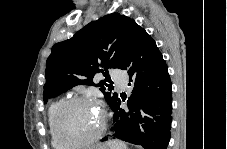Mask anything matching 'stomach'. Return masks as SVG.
I'll use <instances>...</instances> for the list:
<instances>
[{
  "mask_svg": "<svg viewBox=\"0 0 227 149\" xmlns=\"http://www.w3.org/2000/svg\"><path fill=\"white\" fill-rule=\"evenodd\" d=\"M97 149H108L106 146H101L100 148Z\"/></svg>",
  "mask_w": 227,
  "mask_h": 149,
  "instance_id": "stomach-1",
  "label": "stomach"
}]
</instances>
